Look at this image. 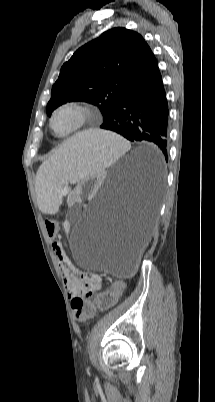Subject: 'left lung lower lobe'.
Segmentation results:
<instances>
[{
	"mask_svg": "<svg viewBox=\"0 0 215 402\" xmlns=\"http://www.w3.org/2000/svg\"><path fill=\"white\" fill-rule=\"evenodd\" d=\"M100 127L132 142L154 144L168 160V103L157 63L131 88ZM145 189L153 207L158 188L148 184Z\"/></svg>",
	"mask_w": 215,
	"mask_h": 402,
	"instance_id": "0a47b994",
	"label": "left lung lower lobe"
}]
</instances>
